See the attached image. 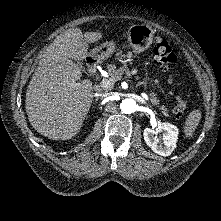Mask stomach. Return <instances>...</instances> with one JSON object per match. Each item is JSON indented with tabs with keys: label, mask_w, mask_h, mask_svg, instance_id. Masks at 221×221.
Segmentation results:
<instances>
[{
	"label": "stomach",
	"mask_w": 221,
	"mask_h": 221,
	"mask_svg": "<svg viewBox=\"0 0 221 221\" xmlns=\"http://www.w3.org/2000/svg\"><path fill=\"white\" fill-rule=\"evenodd\" d=\"M153 37L154 30L149 25H134L129 30L128 41L133 51L135 53H140L149 48L153 42ZM114 49L113 42H105L100 46L94 47L91 54L98 60H104L110 57Z\"/></svg>",
	"instance_id": "obj_1"
}]
</instances>
